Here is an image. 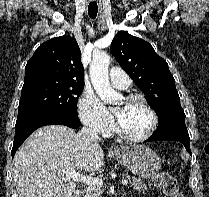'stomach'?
Masks as SVG:
<instances>
[{"mask_svg": "<svg viewBox=\"0 0 209 197\" xmlns=\"http://www.w3.org/2000/svg\"><path fill=\"white\" fill-rule=\"evenodd\" d=\"M115 157L128 170L141 178H150L161 168L158 154L145 145L129 147L121 153H115Z\"/></svg>", "mask_w": 209, "mask_h": 197, "instance_id": "1", "label": "stomach"}]
</instances>
